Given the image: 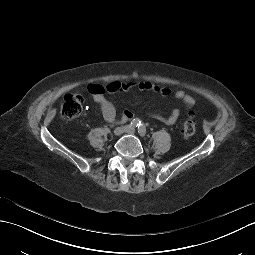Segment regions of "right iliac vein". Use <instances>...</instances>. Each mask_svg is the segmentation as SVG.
Listing matches in <instances>:
<instances>
[{
  "mask_svg": "<svg viewBox=\"0 0 255 255\" xmlns=\"http://www.w3.org/2000/svg\"><path fill=\"white\" fill-rule=\"evenodd\" d=\"M126 129H127V127H125V126L117 127L114 130V135L115 136H120L126 131Z\"/></svg>",
  "mask_w": 255,
  "mask_h": 255,
  "instance_id": "obj_1",
  "label": "right iliac vein"
}]
</instances>
